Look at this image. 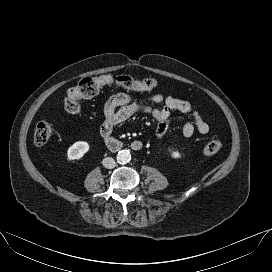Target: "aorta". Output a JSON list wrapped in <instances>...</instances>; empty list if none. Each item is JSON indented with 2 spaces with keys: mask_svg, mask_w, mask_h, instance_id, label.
<instances>
[{
  "mask_svg": "<svg viewBox=\"0 0 272 272\" xmlns=\"http://www.w3.org/2000/svg\"><path fill=\"white\" fill-rule=\"evenodd\" d=\"M116 159L119 163H127L131 160V154L128 150H121L118 152Z\"/></svg>",
  "mask_w": 272,
  "mask_h": 272,
  "instance_id": "1",
  "label": "aorta"
}]
</instances>
